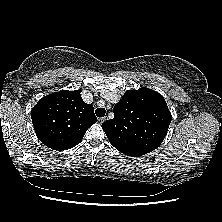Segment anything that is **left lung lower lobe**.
Returning a JSON list of instances; mask_svg holds the SVG:
<instances>
[{
	"mask_svg": "<svg viewBox=\"0 0 222 222\" xmlns=\"http://www.w3.org/2000/svg\"><path fill=\"white\" fill-rule=\"evenodd\" d=\"M115 148L119 150L121 153L132 157H139L151 152V150L142 147H115Z\"/></svg>",
	"mask_w": 222,
	"mask_h": 222,
	"instance_id": "obj_1",
	"label": "left lung lower lobe"
}]
</instances>
